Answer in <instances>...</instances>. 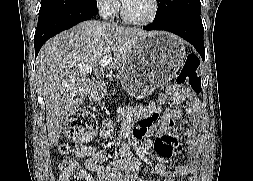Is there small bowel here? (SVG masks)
<instances>
[{
	"instance_id": "1",
	"label": "small bowel",
	"mask_w": 253,
	"mask_h": 181,
	"mask_svg": "<svg viewBox=\"0 0 253 181\" xmlns=\"http://www.w3.org/2000/svg\"><path fill=\"white\" fill-rule=\"evenodd\" d=\"M185 101H187L185 111L176 107H170L162 112L161 106L167 102H171L173 105H180ZM198 109L197 98L192 93L177 87H171L167 94L161 95L157 105L150 107L136 106L126 109V117L138 119V124L133 131L135 138L145 137L147 139L146 145L149 146L150 139L154 133L158 134L157 153L160 159L154 165V171L158 176L163 177L164 181H176L177 178H181L182 181H196L197 179L200 132L197 130L195 118L198 114ZM184 116H189L195 122V125L188 130L192 135L188 140L189 159L187 162L177 165L174 169L168 170L165 166V161L172 155L179 136L176 123L182 120ZM113 132V123L107 120L101 128L100 138H110ZM94 143L98 144L99 139H95ZM74 153L76 156V159L72 161L74 164L77 165V159H86L83 173L87 176L88 181H95L94 175L96 176V181L137 180L138 164L131 157L115 159L105 164L104 152L87 145H78L74 149ZM140 181L153 180L143 179Z\"/></svg>"
}]
</instances>
